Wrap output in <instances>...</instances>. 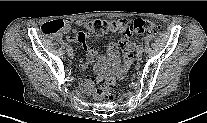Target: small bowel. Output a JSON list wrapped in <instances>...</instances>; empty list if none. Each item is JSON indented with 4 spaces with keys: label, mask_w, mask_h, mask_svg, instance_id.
<instances>
[{
    "label": "small bowel",
    "mask_w": 207,
    "mask_h": 123,
    "mask_svg": "<svg viewBox=\"0 0 207 123\" xmlns=\"http://www.w3.org/2000/svg\"><path fill=\"white\" fill-rule=\"evenodd\" d=\"M120 20L113 21L112 26L110 28V31L117 32L123 29V27L119 23ZM63 22V28L61 30V34L66 35V38L69 41H76L80 44H82L86 55L90 61L97 60L99 62H102L104 60V57L102 54L98 53L96 49L86 43V39L88 37V34L84 32H78V33H72L71 30V24L81 25V20H65ZM123 49V63L121 66H119V54H118V48L115 43H110L107 48V60L111 66L112 69L116 70L119 75H124L127 70L129 69L131 63H132V53L134 50V45L130 42H126ZM88 66V62H81L80 67L82 69H85ZM88 90V88H86Z\"/></svg>",
    "instance_id": "1"
}]
</instances>
